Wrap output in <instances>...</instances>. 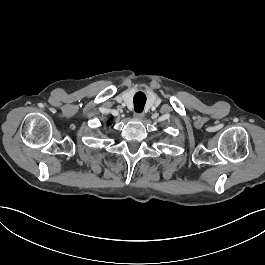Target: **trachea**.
I'll return each mask as SVG.
<instances>
[{
    "label": "trachea",
    "instance_id": "trachea-1",
    "mask_svg": "<svg viewBox=\"0 0 265 265\" xmlns=\"http://www.w3.org/2000/svg\"><path fill=\"white\" fill-rule=\"evenodd\" d=\"M136 112H142L146 103V95L143 92H137L133 99Z\"/></svg>",
    "mask_w": 265,
    "mask_h": 265
}]
</instances>
